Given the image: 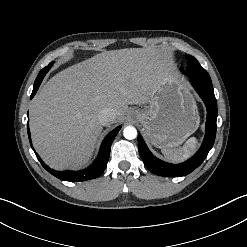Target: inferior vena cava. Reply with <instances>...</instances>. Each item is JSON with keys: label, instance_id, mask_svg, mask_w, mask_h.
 Segmentation results:
<instances>
[{"label": "inferior vena cava", "instance_id": "1", "mask_svg": "<svg viewBox=\"0 0 247 247\" xmlns=\"http://www.w3.org/2000/svg\"><path fill=\"white\" fill-rule=\"evenodd\" d=\"M115 118L116 113L110 108L102 109L98 115V121L103 126L112 124L115 121Z\"/></svg>", "mask_w": 247, "mask_h": 247}]
</instances>
